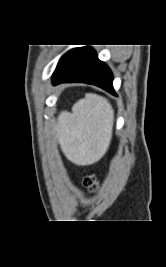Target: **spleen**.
<instances>
[{
  "label": "spleen",
  "mask_w": 166,
  "mask_h": 267,
  "mask_svg": "<svg viewBox=\"0 0 166 267\" xmlns=\"http://www.w3.org/2000/svg\"><path fill=\"white\" fill-rule=\"evenodd\" d=\"M114 110L102 96L87 93L73 107L62 112L56 127L61 149L77 165L100 160L111 142Z\"/></svg>",
  "instance_id": "1"
}]
</instances>
